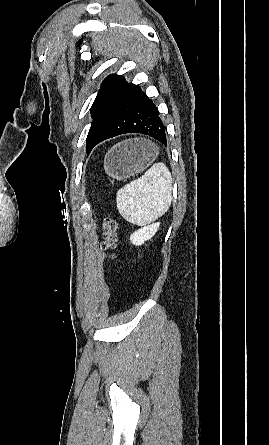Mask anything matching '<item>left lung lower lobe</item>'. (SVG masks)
I'll use <instances>...</instances> for the list:
<instances>
[{
    "instance_id": "1",
    "label": "left lung lower lobe",
    "mask_w": 269,
    "mask_h": 445,
    "mask_svg": "<svg viewBox=\"0 0 269 445\" xmlns=\"http://www.w3.org/2000/svg\"><path fill=\"white\" fill-rule=\"evenodd\" d=\"M124 133L149 135L167 146L166 127L158 108L146 93L133 83L126 85L114 111L94 140L91 150L103 140Z\"/></svg>"
}]
</instances>
